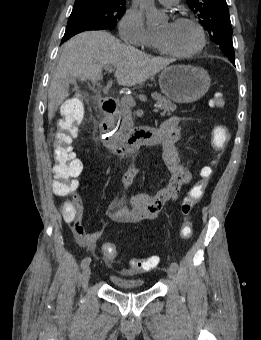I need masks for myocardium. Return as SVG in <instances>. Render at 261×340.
I'll return each mask as SVG.
<instances>
[{"mask_svg": "<svg viewBox=\"0 0 261 340\" xmlns=\"http://www.w3.org/2000/svg\"><path fill=\"white\" fill-rule=\"evenodd\" d=\"M175 22L179 23H185L191 25L197 32L198 34V45L192 49L191 51L188 52H176L168 49L162 42L161 40L156 36L155 41L157 44L158 49L167 55L173 56V57H178V58H191L194 57L195 55L199 54L205 47L206 45V34L202 26L193 18L190 17H180L176 19Z\"/></svg>", "mask_w": 261, "mask_h": 340, "instance_id": "obj_1", "label": "myocardium"}]
</instances>
